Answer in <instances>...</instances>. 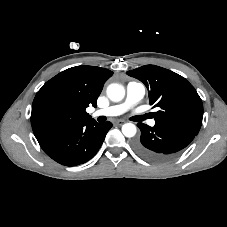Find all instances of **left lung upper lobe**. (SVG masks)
<instances>
[{
	"label": "left lung upper lobe",
	"mask_w": 227,
	"mask_h": 227,
	"mask_svg": "<svg viewBox=\"0 0 227 227\" xmlns=\"http://www.w3.org/2000/svg\"><path fill=\"white\" fill-rule=\"evenodd\" d=\"M145 84L150 104L159 107L155 124L179 127L198 134L203 118V104L195 88L182 76L168 69L145 65L127 71Z\"/></svg>",
	"instance_id": "5c2ea615"
}]
</instances>
